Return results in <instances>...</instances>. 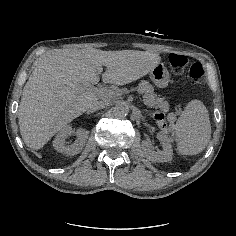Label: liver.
Returning <instances> with one entry per match:
<instances>
[{
  "mask_svg": "<svg viewBox=\"0 0 236 236\" xmlns=\"http://www.w3.org/2000/svg\"><path fill=\"white\" fill-rule=\"evenodd\" d=\"M144 51H103L71 48L40 57L26 82L18 109L25 144L41 149L58 131L97 102L99 94L81 90L79 84L102 81L125 85L146 75Z\"/></svg>",
  "mask_w": 236,
  "mask_h": 236,
  "instance_id": "obj_1",
  "label": "liver"
}]
</instances>
